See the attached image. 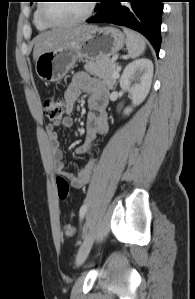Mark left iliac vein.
Wrapping results in <instances>:
<instances>
[{"label":"left iliac vein","mask_w":195,"mask_h":299,"mask_svg":"<svg viewBox=\"0 0 195 299\" xmlns=\"http://www.w3.org/2000/svg\"><path fill=\"white\" fill-rule=\"evenodd\" d=\"M94 241V235L91 233H87L84 235L83 242L80 246V249L77 254L76 263L77 265H81L87 258L89 251L92 247Z\"/></svg>","instance_id":"left-iliac-vein-1"}]
</instances>
